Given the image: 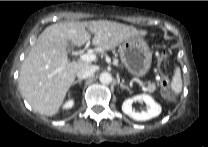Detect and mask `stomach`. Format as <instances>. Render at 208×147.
I'll use <instances>...</instances> for the list:
<instances>
[{
    "mask_svg": "<svg viewBox=\"0 0 208 147\" xmlns=\"http://www.w3.org/2000/svg\"><path fill=\"white\" fill-rule=\"evenodd\" d=\"M119 53L121 61L131 74L137 77L147 74L151 66L152 53L141 36L133 37L122 43Z\"/></svg>",
    "mask_w": 208,
    "mask_h": 147,
    "instance_id": "obj_1",
    "label": "stomach"
}]
</instances>
